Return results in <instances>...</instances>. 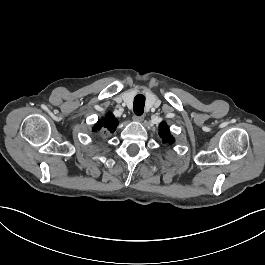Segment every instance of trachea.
Listing matches in <instances>:
<instances>
[{
  "label": "trachea",
  "instance_id": "3493384b",
  "mask_svg": "<svg viewBox=\"0 0 265 265\" xmlns=\"http://www.w3.org/2000/svg\"><path fill=\"white\" fill-rule=\"evenodd\" d=\"M144 106H145V97L142 94L137 95L134 98L133 102L134 113L138 116L142 115L144 112Z\"/></svg>",
  "mask_w": 265,
  "mask_h": 265
}]
</instances>
